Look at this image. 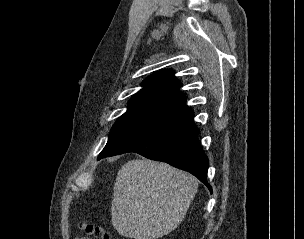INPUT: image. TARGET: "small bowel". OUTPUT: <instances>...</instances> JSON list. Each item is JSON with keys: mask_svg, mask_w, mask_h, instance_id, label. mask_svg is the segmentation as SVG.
<instances>
[{"mask_svg": "<svg viewBox=\"0 0 304 239\" xmlns=\"http://www.w3.org/2000/svg\"><path fill=\"white\" fill-rule=\"evenodd\" d=\"M75 239H89L88 237H81V238H75Z\"/></svg>", "mask_w": 304, "mask_h": 239, "instance_id": "small-bowel-1", "label": "small bowel"}]
</instances>
